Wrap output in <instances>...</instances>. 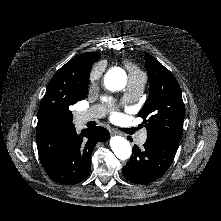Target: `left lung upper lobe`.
Listing matches in <instances>:
<instances>
[{"label": "left lung upper lobe", "instance_id": "obj_1", "mask_svg": "<svg viewBox=\"0 0 221 221\" xmlns=\"http://www.w3.org/2000/svg\"><path fill=\"white\" fill-rule=\"evenodd\" d=\"M150 82L149 97L138 113L147 129V140L180 142L185 106L181 89L173 74L150 54H145Z\"/></svg>", "mask_w": 221, "mask_h": 221}]
</instances>
